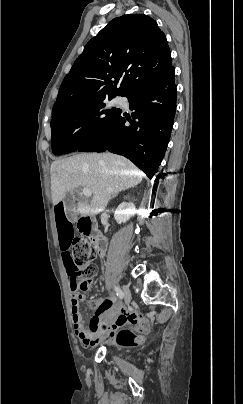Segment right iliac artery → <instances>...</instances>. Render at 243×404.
Returning a JSON list of instances; mask_svg holds the SVG:
<instances>
[{"mask_svg": "<svg viewBox=\"0 0 243 404\" xmlns=\"http://www.w3.org/2000/svg\"><path fill=\"white\" fill-rule=\"evenodd\" d=\"M114 289H115V291H116L117 296H118L120 299H123L124 294H123L122 290H121L119 287H117V286H115Z\"/></svg>", "mask_w": 243, "mask_h": 404, "instance_id": "82829eb1", "label": "right iliac artery"}]
</instances>
